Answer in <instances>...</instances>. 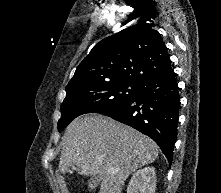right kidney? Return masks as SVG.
I'll return each instance as SVG.
<instances>
[{
    "instance_id": "right-kidney-1",
    "label": "right kidney",
    "mask_w": 221,
    "mask_h": 193,
    "mask_svg": "<svg viewBox=\"0 0 221 193\" xmlns=\"http://www.w3.org/2000/svg\"><path fill=\"white\" fill-rule=\"evenodd\" d=\"M156 172L154 167H145L133 174L127 193H155Z\"/></svg>"
}]
</instances>
